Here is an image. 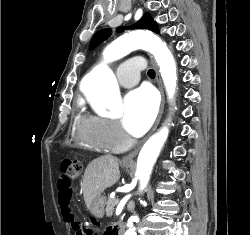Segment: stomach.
Returning <instances> with one entry per match:
<instances>
[{
	"instance_id": "1",
	"label": "stomach",
	"mask_w": 250,
	"mask_h": 235,
	"mask_svg": "<svg viewBox=\"0 0 250 235\" xmlns=\"http://www.w3.org/2000/svg\"><path fill=\"white\" fill-rule=\"evenodd\" d=\"M123 166L125 168H129L131 165L123 164ZM105 204H106V198L103 195L97 196L92 202L90 208L91 213L97 218H102L104 216Z\"/></svg>"
}]
</instances>
